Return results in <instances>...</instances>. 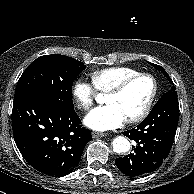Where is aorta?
I'll return each instance as SVG.
<instances>
[{"label":"aorta","instance_id":"aorta-1","mask_svg":"<svg viewBox=\"0 0 194 194\" xmlns=\"http://www.w3.org/2000/svg\"><path fill=\"white\" fill-rule=\"evenodd\" d=\"M112 146L115 153H125L130 149V142L127 138L118 136L113 140Z\"/></svg>","mask_w":194,"mask_h":194}]
</instances>
